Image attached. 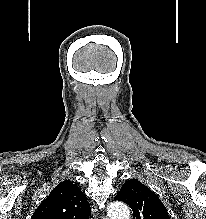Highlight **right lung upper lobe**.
Segmentation results:
<instances>
[{
    "mask_svg": "<svg viewBox=\"0 0 206 219\" xmlns=\"http://www.w3.org/2000/svg\"><path fill=\"white\" fill-rule=\"evenodd\" d=\"M87 197L70 180L58 184L43 200L31 219H89Z\"/></svg>",
    "mask_w": 206,
    "mask_h": 219,
    "instance_id": "obj_1",
    "label": "right lung upper lobe"
}]
</instances>
